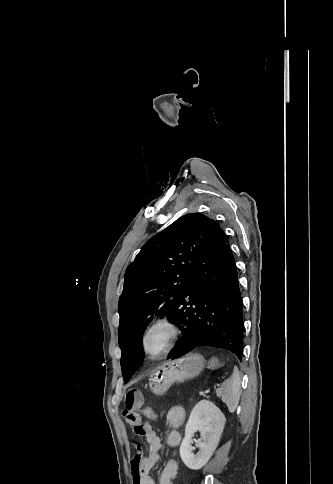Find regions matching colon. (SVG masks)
Masks as SVG:
<instances>
[{
    "label": "colon",
    "instance_id": "obj_1",
    "mask_svg": "<svg viewBox=\"0 0 333 484\" xmlns=\"http://www.w3.org/2000/svg\"><path fill=\"white\" fill-rule=\"evenodd\" d=\"M143 416L149 420H155L159 417V413L153 408L146 406L143 408Z\"/></svg>",
    "mask_w": 333,
    "mask_h": 484
}]
</instances>
